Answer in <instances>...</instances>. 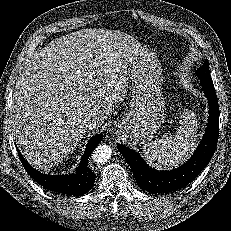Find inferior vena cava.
<instances>
[{
  "label": "inferior vena cava",
  "mask_w": 231,
  "mask_h": 231,
  "mask_svg": "<svg viewBox=\"0 0 231 231\" xmlns=\"http://www.w3.org/2000/svg\"><path fill=\"white\" fill-rule=\"evenodd\" d=\"M103 124V122L102 121H100V120H98V119H93V118H91V119H88L87 121H86V125L88 126V127H99V126H101Z\"/></svg>",
  "instance_id": "inferior-vena-cava-1"
}]
</instances>
